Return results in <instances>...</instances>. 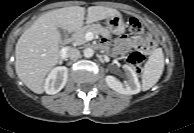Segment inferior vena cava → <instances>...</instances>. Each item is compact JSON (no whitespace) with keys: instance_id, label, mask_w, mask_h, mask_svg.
Instances as JSON below:
<instances>
[{"instance_id":"602c4592","label":"inferior vena cava","mask_w":194,"mask_h":133,"mask_svg":"<svg viewBox=\"0 0 194 133\" xmlns=\"http://www.w3.org/2000/svg\"><path fill=\"white\" fill-rule=\"evenodd\" d=\"M66 56L71 60H77L80 58V51L73 47H68L66 50Z\"/></svg>"}]
</instances>
